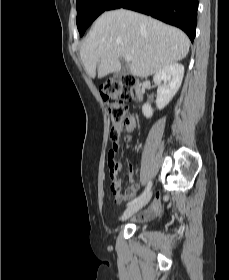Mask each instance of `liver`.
<instances>
[{
	"mask_svg": "<svg viewBox=\"0 0 229 280\" xmlns=\"http://www.w3.org/2000/svg\"><path fill=\"white\" fill-rule=\"evenodd\" d=\"M190 41L175 27L118 9L103 13L86 36L80 57L86 73L99 78L121 70L120 58L132 56L130 72L148 77L186 57Z\"/></svg>",
	"mask_w": 229,
	"mask_h": 280,
	"instance_id": "obj_1",
	"label": "liver"
}]
</instances>
